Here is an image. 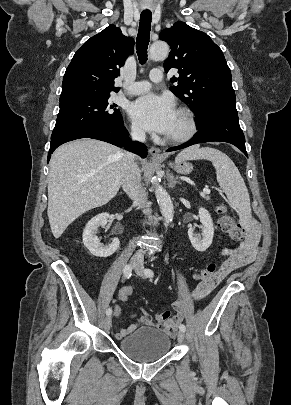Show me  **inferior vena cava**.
<instances>
[{
  "instance_id": "602c4592",
  "label": "inferior vena cava",
  "mask_w": 291,
  "mask_h": 405,
  "mask_svg": "<svg viewBox=\"0 0 291 405\" xmlns=\"http://www.w3.org/2000/svg\"><path fill=\"white\" fill-rule=\"evenodd\" d=\"M133 140L144 142L145 132L138 128H133L131 131ZM123 190L133 200L134 204L143 209V213L148 215L151 213L150 204L148 203L147 193L141 185L140 169L135 162L133 153L126 152L123 154L121 162V181ZM136 262H143L144 252L139 250L132 258Z\"/></svg>"
}]
</instances>
